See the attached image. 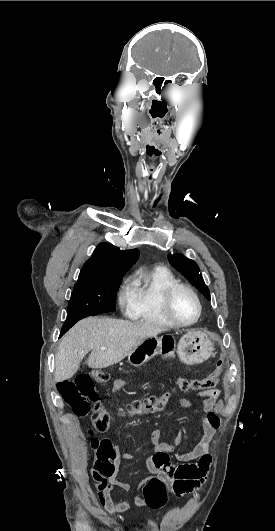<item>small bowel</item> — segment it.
I'll use <instances>...</instances> for the list:
<instances>
[{"label":"small bowel","mask_w":275,"mask_h":531,"mask_svg":"<svg viewBox=\"0 0 275 531\" xmlns=\"http://www.w3.org/2000/svg\"><path fill=\"white\" fill-rule=\"evenodd\" d=\"M110 380L112 382L117 381L113 385L115 391L127 390L128 385L125 382H120L123 380V377L120 375H112ZM221 393L222 391L220 389H213L201 391L194 395L196 399L201 401L203 407L201 419L203 434L200 441L191 450L186 452L178 451L182 440L181 433L170 443L161 441L162 434L159 430H154L151 433V443L154 452L146 458L145 466L150 473H156L157 477L164 481L169 491L177 497L199 490L210 470L212 464V457L210 455L211 442L221 424L218 412L215 410L216 402L220 398ZM179 404L185 408H191L193 406L192 401L185 398L179 399ZM104 443L110 442L107 439H96L92 441V446L97 448ZM170 455H174L180 464L172 467L169 464ZM132 457L133 454L130 452L118 454L115 465L118 466L121 462L128 461ZM90 473L96 480L95 489L98 502L108 514L116 516L129 512L130 504L118 496L117 490L129 492L133 489V486L128 482L118 479L116 472L108 478L98 476L94 470H91ZM133 503L138 508H145L147 506L139 492L134 494Z\"/></svg>","instance_id":"obj_1"}]
</instances>
